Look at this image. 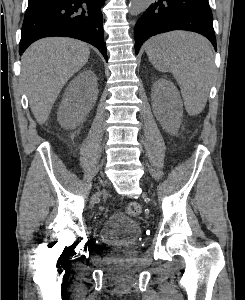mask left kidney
Wrapping results in <instances>:
<instances>
[{
  "label": "left kidney",
  "instance_id": "1",
  "mask_svg": "<svg viewBox=\"0 0 245 300\" xmlns=\"http://www.w3.org/2000/svg\"><path fill=\"white\" fill-rule=\"evenodd\" d=\"M151 99L154 113L162 127L175 132L183 114L182 101L176 87L166 79H159L153 84Z\"/></svg>",
  "mask_w": 245,
  "mask_h": 300
}]
</instances>
